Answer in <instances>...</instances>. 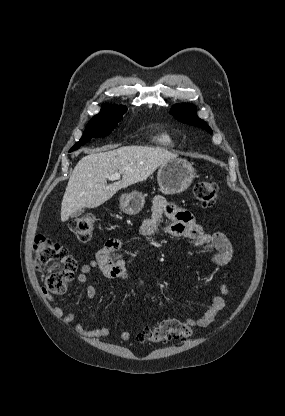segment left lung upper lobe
Wrapping results in <instances>:
<instances>
[{
	"label": "left lung upper lobe",
	"instance_id": "left-lung-upper-lobe-1",
	"mask_svg": "<svg viewBox=\"0 0 285 416\" xmlns=\"http://www.w3.org/2000/svg\"><path fill=\"white\" fill-rule=\"evenodd\" d=\"M170 114L174 115L182 123L200 127L212 134V130L208 124L196 115V107L193 104H176L171 108Z\"/></svg>",
	"mask_w": 285,
	"mask_h": 416
}]
</instances>
